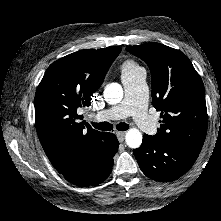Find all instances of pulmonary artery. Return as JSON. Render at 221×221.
<instances>
[{
	"label": "pulmonary artery",
	"mask_w": 221,
	"mask_h": 221,
	"mask_svg": "<svg viewBox=\"0 0 221 221\" xmlns=\"http://www.w3.org/2000/svg\"><path fill=\"white\" fill-rule=\"evenodd\" d=\"M125 94L123 101L109 109L102 110L92 117L97 121L118 120L132 116L141 129L154 133V118L147 113L148 89L145 82V71L139 70L129 77H121Z\"/></svg>",
	"instance_id": "obj_1"
}]
</instances>
